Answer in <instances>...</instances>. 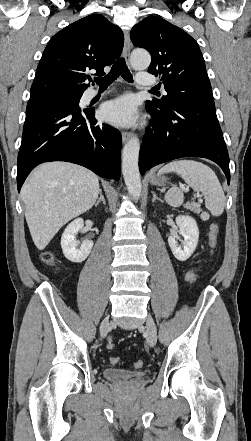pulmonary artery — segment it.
Masks as SVG:
<instances>
[{
  "label": "pulmonary artery",
  "mask_w": 251,
  "mask_h": 441,
  "mask_svg": "<svg viewBox=\"0 0 251 441\" xmlns=\"http://www.w3.org/2000/svg\"><path fill=\"white\" fill-rule=\"evenodd\" d=\"M136 81L138 84L143 85V86H152V85L156 84L155 78L147 73H144V72H140L137 74ZM98 95H99V93L97 90H89L86 93V99L91 100Z\"/></svg>",
  "instance_id": "1"
}]
</instances>
